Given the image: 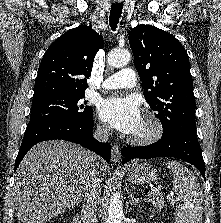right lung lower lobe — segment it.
Listing matches in <instances>:
<instances>
[{
  "label": "right lung lower lobe",
  "instance_id": "obj_1",
  "mask_svg": "<svg viewBox=\"0 0 221 223\" xmlns=\"http://www.w3.org/2000/svg\"><path fill=\"white\" fill-rule=\"evenodd\" d=\"M93 126V118L81 123L66 120H50L33 126H27L15 161V170L33 145L52 139H62L80 144L96 152L108 162L111 156L110 145L108 143H100L93 138Z\"/></svg>",
  "mask_w": 221,
  "mask_h": 223
}]
</instances>
